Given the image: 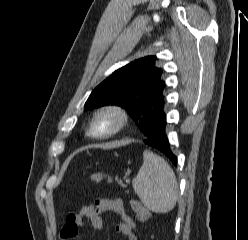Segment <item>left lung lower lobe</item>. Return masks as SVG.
<instances>
[{
  "label": "left lung lower lobe",
  "instance_id": "0a47b994",
  "mask_svg": "<svg viewBox=\"0 0 248 240\" xmlns=\"http://www.w3.org/2000/svg\"><path fill=\"white\" fill-rule=\"evenodd\" d=\"M165 127L166 114L162 109L154 116L148 127V130L144 133V143L162 152L170 159V161L174 165H177V157L173 154L170 149V144L165 133Z\"/></svg>",
  "mask_w": 248,
  "mask_h": 240
}]
</instances>
